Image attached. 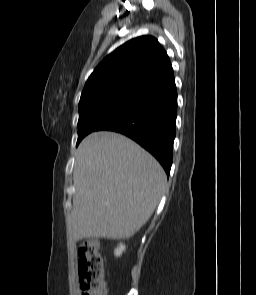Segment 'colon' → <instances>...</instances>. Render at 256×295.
Here are the masks:
<instances>
[{
  "instance_id": "colon-1",
  "label": "colon",
  "mask_w": 256,
  "mask_h": 295,
  "mask_svg": "<svg viewBox=\"0 0 256 295\" xmlns=\"http://www.w3.org/2000/svg\"><path fill=\"white\" fill-rule=\"evenodd\" d=\"M78 281L82 295H105L106 281L100 243L88 239L78 247Z\"/></svg>"
}]
</instances>
